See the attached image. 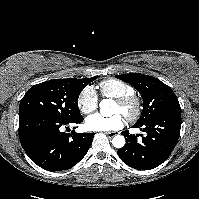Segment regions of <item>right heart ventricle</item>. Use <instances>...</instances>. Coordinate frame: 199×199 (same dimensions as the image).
I'll use <instances>...</instances> for the list:
<instances>
[{"mask_svg": "<svg viewBox=\"0 0 199 199\" xmlns=\"http://www.w3.org/2000/svg\"><path fill=\"white\" fill-rule=\"evenodd\" d=\"M99 88L103 97L114 99L135 92L134 87L130 83L118 79L105 80L100 84Z\"/></svg>", "mask_w": 199, "mask_h": 199, "instance_id": "e07e8e85", "label": "right heart ventricle"}]
</instances>
